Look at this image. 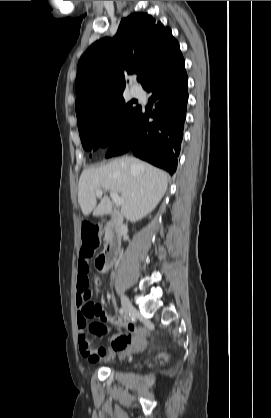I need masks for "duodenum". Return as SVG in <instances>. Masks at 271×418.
<instances>
[{
	"label": "duodenum",
	"mask_w": 271,
	"mask_h": 418,
	"mask_svg": "<svg viewBox=\"0 0 271 418\" xmlns=\"http://www.w3.org/2000/svg\"><path fill=\"white\" fill-rule=\"evenodd\" d=\"M124 234L125 227L118 214L113 212L109 215V221L107 223L106 244L98 259L101 269L106 270L115 263Z\"/></svg>",
	"instance_id": "1"
}]
</instances>
